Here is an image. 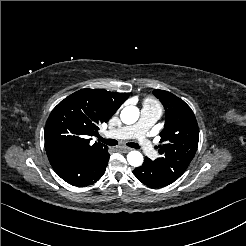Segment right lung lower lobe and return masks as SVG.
Here are the masks:
<instances>
[{
    "instance_id": "1",
    "label": "right lung lower lobe",
    "mask_w": 246,
    "mask_h": 246,
    "mask_svg": "<svg viewBox=\"0 0 246 246\" xmlns=\"http://www.w3.org/2000/svg\"><path fill=\"white\" fill-rule=\"evenodd\" d=\"M107 148L82 158L61 157L50 161L55 172L67 183L84 187L98 181L109 161Z\"/></svg>"
}]
</instances>
